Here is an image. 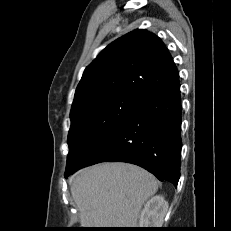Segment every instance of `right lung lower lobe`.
Returning a JSON list of instances; mask_svg holds the SVG:
<instances>
[{
  "label": "right lung lower lobe",
  "mask_w": 231,
  "mask_h": 231,
  "mask_svg": "<svg viewBox=\"0 0 231 231\" xmlns=\"http://www.w3.org/2000/svg\"><path fill=\"white\" fill-rule=\"evenodd\" d=\"M180 86L149 94L138 110L95 146L65 177L76 170L100 162H127L138 165L160 181L177 186L181 155Z\"/></svg>",
  "instance_id": "obj_1"
}]
</instances>
